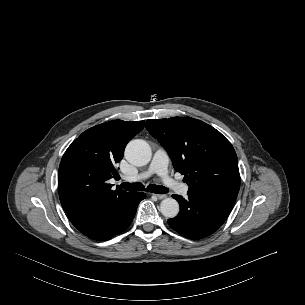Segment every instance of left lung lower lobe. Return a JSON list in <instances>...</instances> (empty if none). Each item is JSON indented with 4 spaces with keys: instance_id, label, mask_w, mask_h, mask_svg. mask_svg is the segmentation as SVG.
<instances>
[{
    "instance_id": "0a47b994",
    "label": "left lung lower lobe",
    "mask_w": 305,
    "mask_h": 305,
    "mask_svg": "<svg viewBox=\"0 0 305 305\" xmlns=\"http://www.w3.org/2000/svg\"><path fill=\"white\" fill-rule=\"evenodd\" d=\"M237 194L234 191H188L186 199L174 194L172 197L179 202L180 212L175 218L169 219L168 224L184 237H207L225 222Z\"/></svg>"
}]
</instances>
